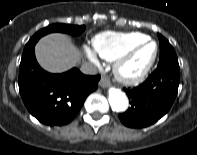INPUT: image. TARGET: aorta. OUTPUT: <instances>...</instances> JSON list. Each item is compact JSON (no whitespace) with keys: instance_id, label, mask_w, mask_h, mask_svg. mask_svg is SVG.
<instances>
[{"instance_id":"obj_1","label":"aorta","mask_w":197,"mask_h":155,"mask_svg":"<svg viewBox=\"0 0 197 155\" xmlns=\"http://www.w3.org/2000/svg\"><path fill=\"white\" fill-rule=\"evenodd\" d=\"M108 99L112 109L116 112L125 111L128 107V99L119 89L110 88L108 92Z\"/></svg>"}]
</instances>
